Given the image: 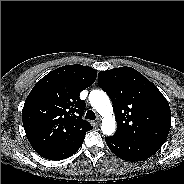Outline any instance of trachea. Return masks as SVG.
Returning a JSON list of instances; mask_svg holds the SVG:
<instances>
[{
  "instance_id": "obj_1",
  "label": "trachea",
  "mask_w": 184,
  "mask_h": 184,
  "mask_svg": "<svg viewBox=\"0 0 184 184\" xmlns=\"http://www.w3.org/2000/svg\"><path fill=\"white\" fill-rule=\"evenodd\" d=\"M96 115L92 110L87 111L85 119L95 120Z\"/></svg>"
}]
</instances>
